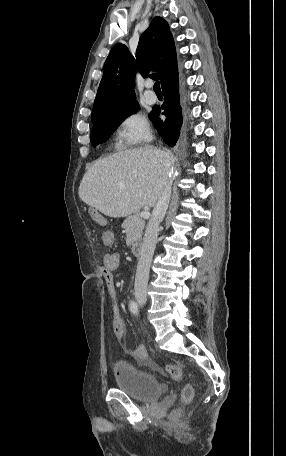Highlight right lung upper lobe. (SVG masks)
<instances>
[{"mask_svg": "<svg viewBox=\"0 0 286 456\" xmlns=\"http://www.w3.org/2000/svg\"><path fill=\"white\" fill-rule=\"evenodd\" d=\"M136 60L137 62L121 43L111 49L94 101L92 121L112 109L137 103L133 90L136 68L143 77H148L151 70L158 71L150 77L159 79L162 87L178 77L174 41L169 26L162 17H155L141 35Z\"/></svg>", "mask_w": 286, "mask_h": 456, "instance_id": "obj_1", "label": "right lung upper lobe"}]
</instances>
